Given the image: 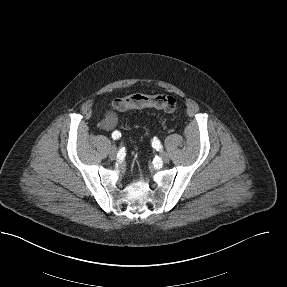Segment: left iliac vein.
Instances as JSON below:
<instances>
[{"label": "left iliac vein", "mask_w": 287, "mask_h": 287, "mask_svg": "<svg viewBox=\"0 0 287 287\" xmlns=\"http://www.w3.org/2000/svg\"><path fill=\"white\" fill-rule=\"evenodd\" d=\"M161 159H162V161H163L164 163L169 162V156H168V154L165 153V152L161 153Z\"/></svg>", "instance_id": "obj_1"}]
</instances>
